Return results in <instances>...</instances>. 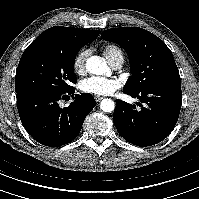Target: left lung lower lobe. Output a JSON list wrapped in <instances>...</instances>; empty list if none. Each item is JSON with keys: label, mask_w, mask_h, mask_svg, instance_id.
<instances>
[{"label": "left lung lower lobe", "mask_w": 199, "mask_h": 199, "mask_svg": "<svg viewBox=\"0 0 199 199\" xmlns=\"http://www.w3.org/2000/svg\"><path fill=\"white\" fill-rule=\"evenodd\" d=\"M140 99L141 107L117 100L113 122L118 133L128 142L140 147L155 145L173 130L180 113L181 82L148 87L140 92L123 90Z\"/></svg>", "instance_id": "obj_1"}]
</instances>
